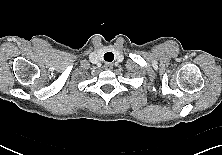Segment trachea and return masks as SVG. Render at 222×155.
<instances>
[{
  "label": "trachea",
  "instance_id": "3493384b",
  "mask_svg": "<svg viewBox=\"0 0 222 155\" xmlns=\"http://www.w3.org/2000/svg\"><path fill=\"white\" fill-rule=\"evenodd\" d=\"M104 60L108 62H112L114 60V54L111 52H107L104 54Z\"/></svg>",
  "mask_w": 222,
  "mask_h": 155
}]
</instances>
